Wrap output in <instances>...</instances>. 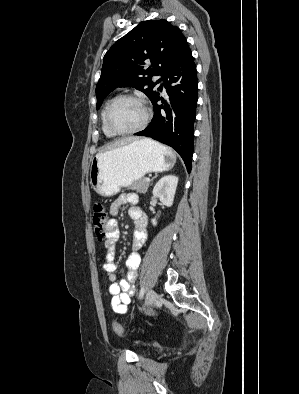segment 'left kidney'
I'll list each match as a JSON object with an SVG mask.
<instances>
[{
    "label": "left kidney",
    "instance_id": "1",
    "mask_svg": "<svg viewBox=\"0 0 299 394\" xmlns=\"http://www.w3.org/2000/svg\"><path fill=\"white\" fill-rule=\"evenodd\" d=\"M178 184V177L166 175L162 177L153 188V196L159 198L163 205L171 207ZM154 226L157 225L156 219L151 220Z\"/></svg>",
    "mask_w": 299,
    "mask_h": 394
}]
</instances>
